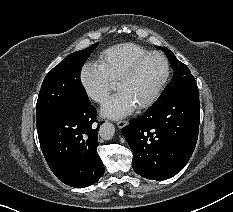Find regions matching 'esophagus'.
Returning <instances> with one entry per match:
<instances>
[{"mask_svg":"<svg viewBox=\"0 0 233 212\" xmlns=\"http://www.w3.org/2000/svg\"><path fill=\"white\" fill-rule=\"evenodd\" d=\"M127 124H128V121H125V120H120V121L117 122V126L120 129L125 127Z\"/></svg>","mask_w":233,"mask_h":212,"instance_id":"obj_1","label":"esophagus"}]
</instances>
